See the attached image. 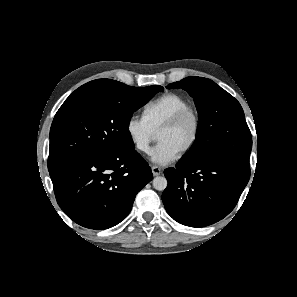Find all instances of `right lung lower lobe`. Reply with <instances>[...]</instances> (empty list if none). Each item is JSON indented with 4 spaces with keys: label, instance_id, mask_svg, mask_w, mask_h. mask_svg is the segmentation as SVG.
Here are the masks:
<instances>
[{
    "label": "right lung lower lobe",
    "instance_id": "right-lung-lower-lobe-1",
    "mask_svg": "<svg viewBox=\"0 0 297 297\" xmlns=\"http://www.w3.org/2000/svg\"><path fill=\"white\" fill-rule=\"evenodd\" d=\"M49 173L61 209L77 224L96 230L120 223L153 177L135 149L72 157Z\"/></svg>",
    "mask_w": 297,
    "mask_h": 297
}]
</instances>
